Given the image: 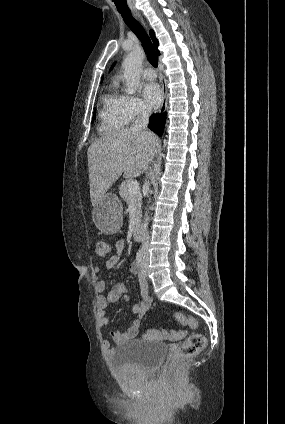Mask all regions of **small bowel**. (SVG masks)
Listing matches in <instances>:
<instances>
[{
    "label": "small bowel",
    "mask_w": 285,
    "mask_h": 424,
    "mask_svg": "<svg viewBox=\"0 0 285 424\" xmlns=\"http://www.w3.org/2000/svg\"><path fill=\"white\" fill-rule=\"evenodd\" d=\"M125 248V242L123 240H118L115 244V253L110 256L106 261V268H114L120 261L122 253ZM131 272L137 276L138 283L141 292V301L133 305V312L136 314L137 318L132 322L131 327L127 331L115 330L111 333L112 341L115 345H120L130 339L135 338L141 328V322L146 312L150 308L151 298L148 294V281L141 274L140 265L138 263L131 264ZM95 274L101 273V268L96 266L94 268ZM96 291L98 294L97 306L100 314V326L107 327L110 324V319L106 315V308L115 304L119 301L120 297L123 296L124 299H128V294L125 286L121 283H117L111 287V289L106 293V284L103 280H98L96 282ZM102 351L106 356H109L113 351L112 342L108 339H103L102 341Z\"/></svg>",
    "instance_id": "small-bowel-1"
}]
</instances>
